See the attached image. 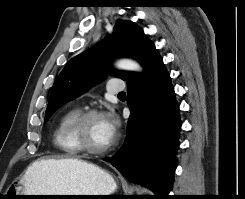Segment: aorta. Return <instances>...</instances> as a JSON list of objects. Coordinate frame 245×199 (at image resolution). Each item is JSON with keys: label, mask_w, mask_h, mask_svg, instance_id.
<instances>
[{"label": "aorta", "mask_w": 245, "mask_h": 199, "mask_svg": "<svg viewBox=\"0 0 245 199\" xmlns=\"http://www.w3.org/2000/svg\"><path fill=\"white\" fill-rule=\"evenodd\" d=\"M116 68L126 71L141 72L142 67L140 64L132 59H121L116 63Z\"/></svg>", "instance_id": "1"}]
</instances>
